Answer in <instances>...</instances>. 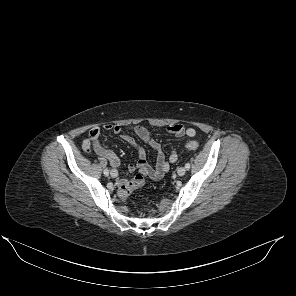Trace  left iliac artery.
Masks as SVG:
<instances>
[{"label": "left iliac artery", "mask_w": 296, "mask_h": 296, "mask_svg": "<svg viewBox=\"0 0 296 296\" xmlns=\"http://www.w3.org/2000/svg\"><path fill=\"white\" fill-rule=\"evenodd\" d=\"M185 168H186L187 170H189V169H190V164H189V163H186V164H185Z\"/></svg>", "instance_id": "left-iliac-artery-1"}]
</instances>
